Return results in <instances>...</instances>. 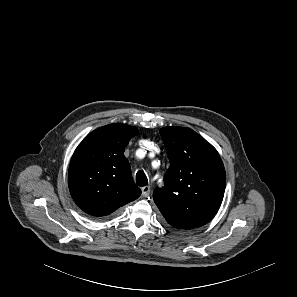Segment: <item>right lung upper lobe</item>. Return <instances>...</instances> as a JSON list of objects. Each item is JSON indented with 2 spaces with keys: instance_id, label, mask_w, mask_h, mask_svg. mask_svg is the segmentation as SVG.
<instances>
[{
  "instance_id": "right-lung-upper-lobe-1",
  "label": "right lung upper lobe",
  "mask_w": 297,
  "mask_h": 297,
  "mask_svg": "<svg viewBox=\"0 0 297 297\" xmlns=\"http://www.w3.org/2000/svg\"><path fill=\"white\" fill-rule=\"evenodd\" d=\"M137 132L126 124L106 125L91 132L76 148L68 171L69 190L89 215L107 216L140 196L124 156Z\"/></svg>"
}]
</instances>
